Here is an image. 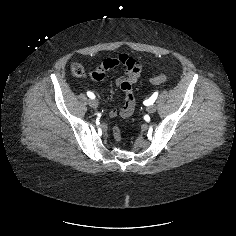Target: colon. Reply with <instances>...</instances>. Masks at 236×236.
<instances>
[{
    "mask_svg": "<svg viewBox=\"0 0 236 236\" xmlns=\"http://www.w3.org/2000/svg\"><path fill=\"white\" fill-rule=\"evenodd\" d=\"M71 72L76 77H81L85 74L84 68L78 63H73L71 65ZM167 79H168V75L160 74V75H157V76L153 77L150 80V82L152 84H161V83L167 81ZM112 132H113L114 139L116 141L120 142L121 139H122L120 128L118 126H114Z\"/></svg>",
    "mask_w": 236,
    "mask_h": 236,
    "instance_id": "1",
    "label": "colon"
}]
</instances>
